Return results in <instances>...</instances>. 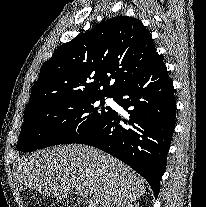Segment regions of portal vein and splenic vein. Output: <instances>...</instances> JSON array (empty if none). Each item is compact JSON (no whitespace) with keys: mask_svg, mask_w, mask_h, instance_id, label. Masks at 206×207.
<instances>
[{"mask_svg":"<svg viewBox=\"0 0 206 207\" xmlns=\"http://www.w3.org/2000/svg\"><path fill=\"white\" fill-rule=\"evenodd\" d=\"M76 194H77L79 197H85V196H86V193L83 192V191H80V190H78V191L76 192Z\"/></svg>","mask_w":206,"mask_h":207,"instance_id":"portal-vein-and-splenic-vein-1","label":"portal vein and splenic vein"}]
</instances>
